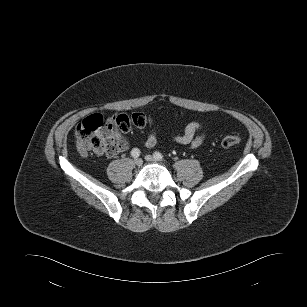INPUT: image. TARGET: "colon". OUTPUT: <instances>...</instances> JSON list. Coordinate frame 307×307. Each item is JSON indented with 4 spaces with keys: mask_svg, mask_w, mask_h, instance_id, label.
<instances>
[{
    "mask_svg": "<svg viewBox=\"0 0 307 307\" xmlns=\"http://www.w3.org/2000/svg\"><path fill=\"white\" fill-rule=\"evenodd\" d=\"M151 122L150 118L143 113L131 115L119 114L109 122L99 114H93L83 119L75 128V137L78 149L81 153L107 152L108 140L107 129L114 127L120 133H127L132 128H143ZM241 138L238 134L226 135L221 145L224 148H232L238 145Z\"/></svg>",
    "mask_w": 307,
    "mask_h": 307,
    "instance_id": "5ec220e1",
    "label": "colon"
}]
</instances>
